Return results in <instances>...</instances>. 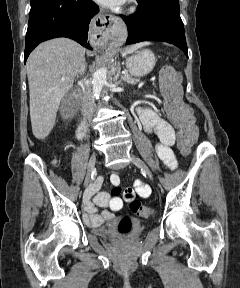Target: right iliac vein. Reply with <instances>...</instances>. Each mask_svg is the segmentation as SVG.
Here are the masks:
<instances>
[{
    "mask_svg": "<svg viewBox=\"0 0 240 288\" xmlns=\"http://www.w3.org/2000/svg\"><path fill=\"white\" fill-rule=\"evenodd\" d=\"M95 163H96V154L93 153L88 163L87 174H86V178L84 181L85 187H88V185L91 182V176L95 168Z\"/></svg>",
    "mask_w": 240,
    "mask_h": 288,
    "instance_id": "right-iliac-vein-1",
    "label": "right iliac vein"
}]
</instances>
